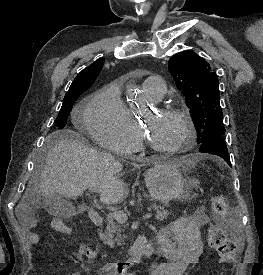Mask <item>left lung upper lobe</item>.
<instances>
[{"instance_id": "5c2ea615", "label": "left lung upper lobe", "mask_w": 263, "mask_h": 275, "mask_svg": "<svg viewBox=\"0 0 263 275\" xmlns=\"http://www.w3.org/2000/svg\"><path fill=\"white\" fill-rule=\"evenodd\" d=\"M179 91L186 98V105L197 131V142L202 144L225 133L220 107L219 81L205 60L192 51L173 55L168 62Z\"/></svg>"}]
</instances>
